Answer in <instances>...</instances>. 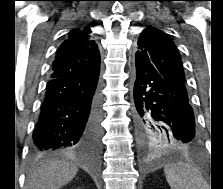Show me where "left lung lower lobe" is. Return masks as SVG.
I'll return each instance as SVG.
<instances>
[{
    "label": "left lung lower lobe",
    "mask_w": 223,
    "mask_h": 189,
    "mask_svg": "<svg viewBox=\"0 0 223 189\" xmlns=\"http://www.w3.org/2000/svg\"><path fill=\"white\" fill-rule=\"evenodd\" d=\"M134 83L135 116L138 131L159 127L180 147L200 144L192 107L189 101L152 67L136 61Z\"/></svg>",
    "instance_id": "left-lung-lower-lobe-1"
}]
</instances>
